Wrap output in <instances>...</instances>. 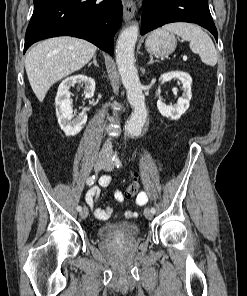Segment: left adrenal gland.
Instances as JSON below:
<instances>
[{
    "label": "left adrenal gland",
    "instance_id": "1",
    "mask_svg": "<svg viewBox=\"0 0 247 296\" xmlns=\"http://www.w3.org/2000/svg\"><path fill=\"white\" fill-rule=\"evenodd\" d=\"M154 62H158L157 60H153V56L150 55V61L148 62V65L153 64Z\"/></svg>",
    "mask_w": 247,
    "mask_h": 296
}]
</instances>
